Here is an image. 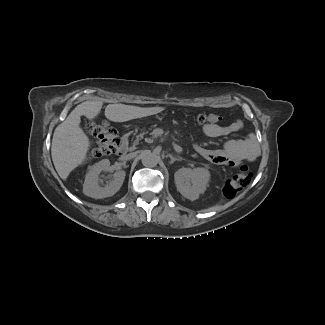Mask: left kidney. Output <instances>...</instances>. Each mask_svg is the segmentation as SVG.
I'll return each mask as SVG.
<instances>
[{"mask_svg":"<svg viewBox=\"0 0 325 325\" xmlns=\"http://www.w3.org/2000/svg\"><path fill=\"white\" fill-rule=\"evenodd\" d=\"M177 190L187 199L194 201L204 193L210 180V172L203 167L180 168L174 174Z\"/></svg>","mask_w":325,"mask_h":325,"instance_id":"5707ae66","label":"left kidney"}]
</instances>
